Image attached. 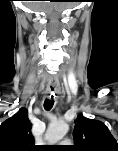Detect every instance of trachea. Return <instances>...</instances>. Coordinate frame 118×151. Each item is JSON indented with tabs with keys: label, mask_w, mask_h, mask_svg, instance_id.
Segmentation results:
<instances>
[{
	"label": "trachea",
	"mask_w": 118,
	"mask_h": 151,
	"mask_svg": "<svg viewBox=\"0 0 118 151\" xmlns=\"http://www.w3.org/2000/svg\"><path fill=\"white\" fill-rule=\"evenodd\" d=\"M54 105L53 95L50 98H46L44 101V108L50 110Z\"/></svg>",
	"instance_id": "trachea-1"
}]
</instances>
